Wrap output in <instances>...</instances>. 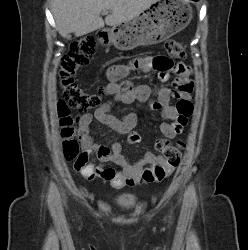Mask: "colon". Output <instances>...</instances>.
<instances>
[{"label": "colon", "instance_id": "obj_1", "mask_svg": "<svg viewBox=\"0 0 248 250\" xmlns=\"http://www.w3.org/2000/svg\"><path fill=\"white\" fill-rule=\"evenodd\" d=\"M96 48V41L93 37H82L75 40L69 52L61 59L59 67V83L63 91V100L58 107L60 118L61 136L63 138V154L67 161L74 162L78 167L90 166L88 154L82 152L75 137L76 118L71 115V109L79 111L95 110L101 105V94L90 92L81 87L74 79L78 71L85 68L91 61ZM164 48L171 58L180 59L185 57V46L177 40H167ZM190 115L191 109L186 108ZM137 137H140L136 134ZM157 150L161 153L167 167L156 166L153 169H146L144 177L148 180H161L165 177L169 168H176L181 159V151L184 143L178 141L172 144L167 140H158Z\"/></svg>", "mask_w": 248, "mask_h": 250}]
</instances>
